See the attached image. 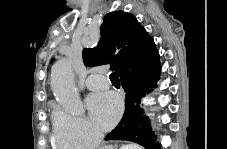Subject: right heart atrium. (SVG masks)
Listing matches in <instances>:
<instances>
[{"instance_id": "1", "label": "right heart atrium", "mask_w": 227, "mask_h": 149, "mask_svg": "<svg viewBox=\"0 0 227 149\" xmlns=\"http://www.w3.org/2000/svg\"><path fill=\"white\" fill-rule=\"evenodd\" d=\"M55 144L61 148L79 149L95 146L101 133L84 117L56 107L52 116Z\"/></svg>"}]
</instances>
